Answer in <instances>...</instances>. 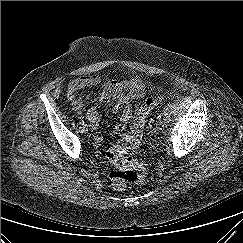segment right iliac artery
Returning a JSON list of instances; mask_svg holds the SVG:
<instances>
[{
  "mask_svg": "<svg viewBox=\"0 0 243 243\" xmlns=\"http://www.w3.org/2000/svg\"><path fill=\"white\" fill-rule=\"evenodd\" d=\"M79 124H80V125H84V121H83V120H80V121H79Z\"/></svg>",
  "mask_w": 243,
  "mask_h": 243,
  "instance_id": "82829eb1",
  "label": "right iliac artery"
}]
</instances>
